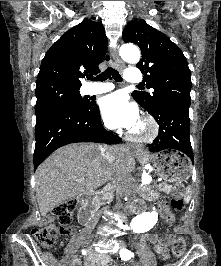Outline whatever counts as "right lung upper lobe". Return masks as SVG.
I'll return each instance as SVG.
<instances>
[{
    "label": "right lung upper lobe",
    "mask_w": 221,
    "mask_h": 266,
    "mask_svg": "<svg viewBox=\"0 0 221 266\" xmlns=\"http://www.w3.org/2000/svg\"><path fill=\"white\" fill-rule=\"evenodd\" d=\"M107 51V37L102 23L84 19L65 32L46 52L36 87L64 85L81 87L86 73L97 74Z\"/></svg>",
    "instance_id": "1"
}]
</instances>
